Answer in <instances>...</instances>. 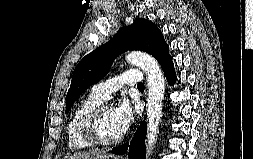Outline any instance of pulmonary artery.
Wrapping results in <instances>:
<instances>
[{
	"mask_svg": "<svg viewBox=\"0 0 253 159\" xmlns=\"http://www.w3.org/2000/svg\"><path fill=\"white\" fill-rule=\"evenodd\" d=\"M142 80L143 74L140 70H126L119 77L95 84L91 92L102 100H107L113 92L123 86H137Z\"/></svg>",
	"mask_w": 253,
	"mask_h": 159,
	"instance_id": "obj_1",
	"label": "pulmonary artery"
}]
</instances>
